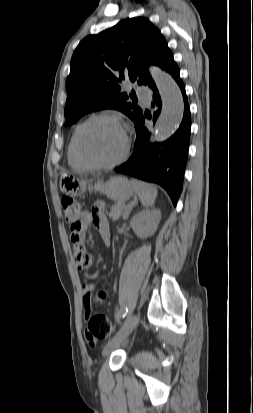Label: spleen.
Segmentation results:
<instances>
[{
    "label": "spleen",
    "instance_id": "spleen-1",
    "mask_svg": "<svg viewBox=\"0 0 253 413\" xmlns=\"http://www.w3.org/2000/svg\"><path fill=\"white\" fill-rule=\"evenodd\" d=\"M132 187L134 188V192L140 198L141 203L145 207L153 206L155 199L157 197L158 191L155 186L132 179L130 181Z\"/></svg>",
    "mask_w": 253,
    "mask_h": 413
}]
</instances>
